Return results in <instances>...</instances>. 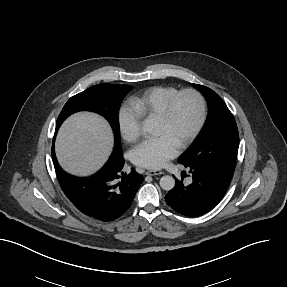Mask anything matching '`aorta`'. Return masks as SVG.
I'll return each instance as SVG.
<instances>
[{
	"instance_id": "762f6f07",
	"label": "aorta",
	"mask_w": 287,
	"mask_h": 287,
	"mask_svg": "<svg viewBox=\"0 0 287 287\" xmlns=\"http://www.w3.org/2000/svg\"><path fill=\"white\" fill-rule=\"evenodd\" d=\"M143 130L145 132H150L151 128L149 126H145ZM159 184L163 190L169 191V190L174 188L175 180L172 176L165 175V176L161 177Z\"/></svg>"
}]
</instances>
